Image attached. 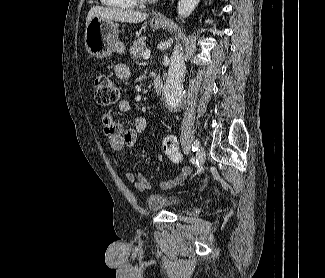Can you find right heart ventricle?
I'll use <instances>...</instances> for the list:
<instances>
[{
	"instance_id": "e07e8e85",
	"label": "right heart ventricle",
	"mask_w": 325,
	"mask_h": 278,
	"mask_svg": "<svg viewBox=\"0 0 325 278\" xmlns=\"http://www.w3.org/2000/svg\"><path fill=\"white\" fill-rule=\"evenodd\" d=\"M101 3L115 9H130L136 6L135 0H101Z\"/></svg>"
}]
</instances>
